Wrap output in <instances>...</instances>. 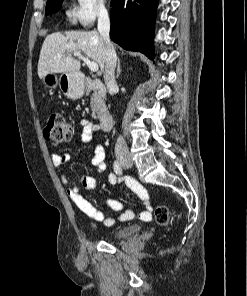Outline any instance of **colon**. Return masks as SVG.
Instances as JSON below:
<instances>
[{"mask_svg": "<svg viewBox=\"0 0 247 296\" xmlns=\"http://www.w3.org/2000/svg\"><path fill=\"white\" fill-rule=\"evenodd\" d=\"M44 132L47 139L56 144L68 142L73 137L72 126L66 121L65 117L58 112L51 114ZM148 217L149 215L146 214L145 218ZM154 217L161 226H167L169 224V211L164 205L155 207Z\"/></svg>", "mask_w": 247, "mask_h": 296, "instance_id": "obj_1", "label": "colon"}]
</instances>
